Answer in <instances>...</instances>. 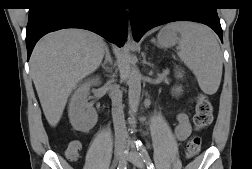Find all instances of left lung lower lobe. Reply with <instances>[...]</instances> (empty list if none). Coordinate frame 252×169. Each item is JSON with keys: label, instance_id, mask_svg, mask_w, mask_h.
Segmentation results:
<instances>
[{"label": "left lung lower lobe", "instance_id": "0a47b994", "mask_svg": "<svg viewBox=\"0 0 252 169\" xmlns=\"http://www.w3.org/2000/svg\"><path fill=\"white\" fill-rule=\"evenodd\" d=\"M130 20L135 41L150 29L174 21H194L212 28L222 38V28L213 0H161L151 8L130 9Z\"/></svg>", "mask_w": 252, "mask_h": 169}]
</instances>
